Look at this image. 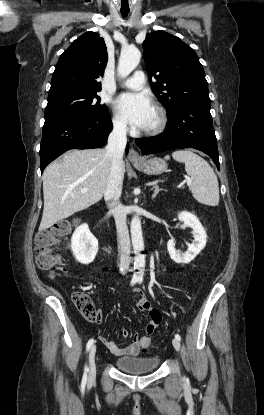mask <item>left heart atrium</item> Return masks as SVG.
Here are the masks:
<instances>
[{
  "instance_id": "39dd6f15",
  "label": "left heart atrium",
  "mask_w": 264,
  "mask_h": 415,
  "mask_svg": "<svg viewBox=\"0 0 264 415\" xmlns=\"http://www.w3.org/2000/svg\"><path fill=\"white\" fill-rule=\"evenodd\" d=\"M116 109L133 127L144 129L154 107L145 93H126L118 97Z\"/></svg>"
}]
</instances>
